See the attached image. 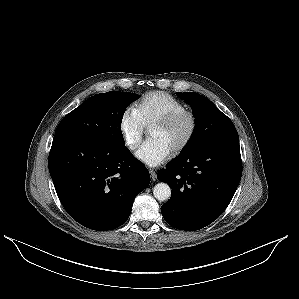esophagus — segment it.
<instances>
[{"mask_svg": "<svg viewBox=\"0 0 299 299\" xmlns=\"http://www.w3.org/2000/svg\"><path fill=\"white\" fill-rule=\"evenodd\" d=\"M149 173H150V177H151V179H152L153 181H155L156 178H157V175H156L155 171L152 170V169H150V170H149Z\"/></svg>", "mask_w": 299, "mask_h": 299, "instance_id": "1", "label": "esophagus"}]
</instances>
